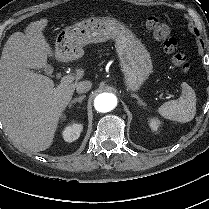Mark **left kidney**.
<instances>
[{"mask_svg":"<svg viewBox=\"0 0 209 209\" xmlns=\"http://www.w3.org/2000/svg\"><path fill=\"white\" fill-rule=\"evenodd\" d=\"M161 125V121L158 118H151L149 120V126L153 131H157Z\"/></svg>","mask_w":209,"mask_h":209,"instance_id":"obj_1","label":"left kidney"}]
</instances>
